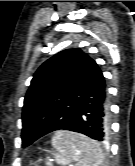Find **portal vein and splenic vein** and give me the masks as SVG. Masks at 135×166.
I'll return each mask as SVG.
<instances>
[{"label": "portal vein and splenic vein", "mask_w": 135, "mask_h": 166, "mask_svg": "<svg viewBox=\"0 0 135 166\" xmlns=\"http://www.w3.org/2000/svg\"><path fill=\"white\" fill-rule=\"evenodd\" d=\"M47 165L51 166V163H47Z\"/></svg>", "instance_id": "1"}]
</instances>
